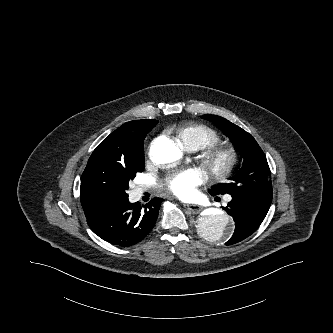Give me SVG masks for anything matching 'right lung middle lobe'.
<instances>
[{
    "label": "right lung middle lobe",
    "mask_w": 333,
    "mask_h": 333,
    "mask_svg": "<svg viewBox=\"0 0 333 333\" xmlns=\"http://www.w3.org/2000/svg\"><path fill=\"white\" fill-rule=\"evenodd\" d=\"M143 123L146 137L158 121L143 120ZM143 167V152L125 161L100 159L92 163L87 171L84 170L81 180L86 177L89 191L98 199L106 202L124 199L128 197L126 190L129 188V181L134 179L137 172H142Z\"/></svg>",
    "instance_id": "obj_1"
}]
</instances>
